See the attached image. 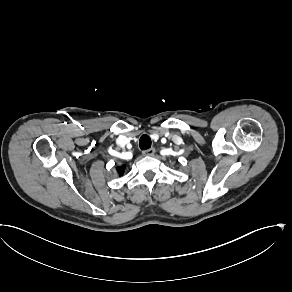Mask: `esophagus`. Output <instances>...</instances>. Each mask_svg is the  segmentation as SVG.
I'll return each instance as SVG.
<instances>
[{"label":"esophagus","instance_id":"1","mask_svg":"<svg viewBox=\"0 0 292 292\" xmlns=\"http://www.w3.org/2000/svg\"><path fill=\"white\" fill-rule=\"evenodd\" d=\"M142 154L144 156H153L155 154V148L151 147L149 149L143 150Z\"/></svg>","mask_w":292,"mask_h":292}]
</instances>
